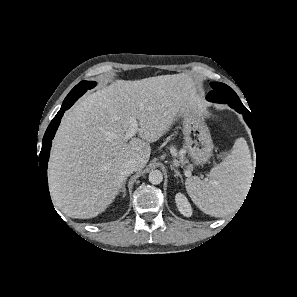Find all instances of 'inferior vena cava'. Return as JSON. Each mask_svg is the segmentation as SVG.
I'll use <instances>...</instances> for the list:
<instances>
[{"instance_id": "inferior-vena-cava-1", "label": "inferior vena cava", "mask_w": 297, "mask_h": 297, "mask_svg": "<svg viewBox=\"0 0 297 297\" xmlns=\"http://www.w3.org/2000/svg\"><path fill=\"white\" fill-rule=\"evenodd\" d=\"M139 166L137 165L136 161L128 160L121 166V173L124 177L131 175L133 172L137 171Z\"/></svg>"}]
</instances>
